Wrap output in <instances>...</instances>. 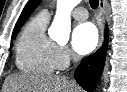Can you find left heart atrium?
<instances>
[{
  "mask_svg": "<svg viewBox=\"0 0 127 92\" xmlns=\"http://www.w3.org/2000/svg\"><path fill=\"white\" fill-rule=\"evenodd\" d=\"M98 43L96 27L89 22L81 23L72 33V46L76 53L85 55L95 49Z\"/></svg>",
  "mask_w": 127,
  "mask_h": 92,
  "instance_id": "1",
  "label": "left heart atrium"
}]
</instances>
